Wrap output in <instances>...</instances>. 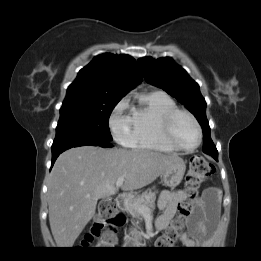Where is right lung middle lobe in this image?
<instances>
[{"label":"right lung middle lobe","instance_id":"obj_1","mask_svg":"<svg viewBox=\"0 0 261 261\" xmlns=\"http://www.w3.org/2000/svg\"><path fill=\"white\" fill-rule=\"evenodd\" d=\"M120 96L66 97L60 108V120L54 142L80 137L112 140L109 116Z\"/></svg>","mask_w":261,"mask_h":261}]
</instances>
